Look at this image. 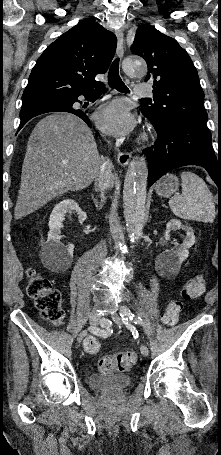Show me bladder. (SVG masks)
Wrapping results in <instances>:
<instances>
[{
  "label": "bladder",
  "mask_w": 221,
  "mask_h": 455,
  "mask_svg": "<svg viewBox=\"0 0 221 455\" xmlns=\"http://www.w3.org/2000/svg\"><path fill=\"white\" fill-rule=\"evenodd\" d=\"M131 383V378L126 374H92L89 377V385L100 390H122Z\"/></svg>",
  "instance_id": "31cf9c89"
}]
</instances>
